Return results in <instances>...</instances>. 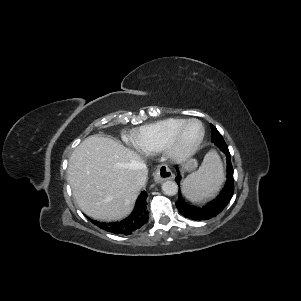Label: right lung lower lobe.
Instances as JSON below:
<instances>
[{
    "label": "right lung lower lobe",
    "instance_id": "right-lung-lower-lobe-1",
    "mask_svg": "<svg viewBox=\"0 0 301 301\" xmlns=\"http://www.w3.org/2000/svg\"><path fill=\"white\" fill-rule=\"evenodd\" d=\"M148 194L143 191L137 201L133 212L126 219L119 222H98L90 221L99 228L114 234L130 235L132 232L143 226L148 220V212L146 211V198Z\"/></svg>",
    "mask_w": 301,
    "mask_h": 301
}]
</instances>
